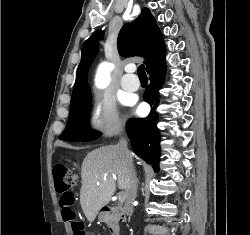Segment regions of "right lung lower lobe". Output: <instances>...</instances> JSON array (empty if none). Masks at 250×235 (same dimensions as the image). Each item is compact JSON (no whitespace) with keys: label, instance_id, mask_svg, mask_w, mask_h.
<instances>
[{"label":"right lung lower lobe","instance_id":"right-lung-lower-lobe-1","mask_svg":"<svg viewBox=\"0 0 250 235\" xmlns=\"http://www.w3.org/2000/svg\"><path fill=\"white\" fill-rule=\"evenodd\" d=\"M164 48L146 67L150 76V85L144 92V100L152 109L145 119H131L127 123V132L134 152L152 165L155 172L159 170L160 135L157 129L158 115L156 107L159 102V89L164 83L166 71Z\"/></svg>","mask_w":250,"mask_h":235}]
</instances>
